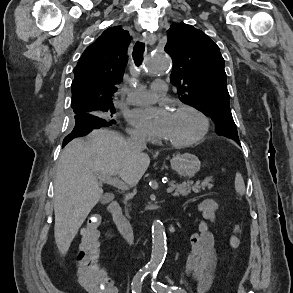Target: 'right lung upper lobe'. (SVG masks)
<instances>
[{"mask_svg": "<svg viewBox=\"0 0 293 293\" xmlns=\"http://www.w3.org/2000/svg\"><path fill=\"white\" fill-rule=\"evenodd\" d=\"M131 39L128 31L114 26L86 48L74 68L71 106L75 115H96L93 105L113 102L116 85L123 80Z\"/></svg>", "mask_w": 293, "mask_h": 293, "instance_id": "1", "label": "right lung upper lobe"}]
</instances>
